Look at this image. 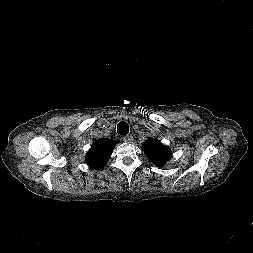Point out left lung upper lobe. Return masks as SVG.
I'll return each instance as SVG.
<instances>
[{
  "label": "left lung upper lobe",
  "mask_w": 253,
  "mask_h": 253,
  "mask_svg": "<svg viewBox=\"0 0 253 253\" xmlns=\"http://www.w3.org/2000/svg\"><path fill=\"white\" fill-rule=\"evenodd\" d=\"M142 147L146 156L157 166H162L166 163L172 154L170 149L157 139L147 140Z\"/></svg>",
  "instance_id": "obj_1"
}]
</instances>
